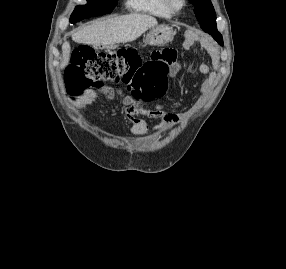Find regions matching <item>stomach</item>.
I'll return each mask as SVG.
<instances>
[{
  "instance_id": "stomach-1",
  "label": "stomach",
  "mask_w": 286,
  "mask_h": 269,
  "mask_svg": "<svg viewBox=\"0 0 286 269\" xmlns=\"http://www.w3.org/2000/svg\"><path fill=\"white\" fill-rule=\"evenodd\" d=\"M173 35L174 33L171 27L167 25H158L150 29L145 36L144 41L153 46L164 45L172 39Z\"/></svg>"
}]
</instances>
